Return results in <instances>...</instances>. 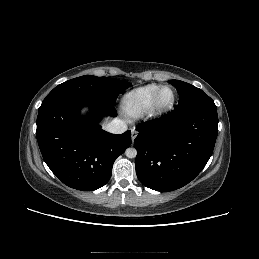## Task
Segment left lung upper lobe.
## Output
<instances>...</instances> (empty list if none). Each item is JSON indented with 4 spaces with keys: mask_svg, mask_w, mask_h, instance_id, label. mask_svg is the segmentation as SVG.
<instances>
[{
    "mask_svg": "<svg viewBox=\"0 0 259 259\" xmlns=\"http://www.w3.org/2000/svg\"><path fill=\"white\" fill-rule=\"evenodd\" d=\"M169 82L176 87L179 94L177 107L196 104L216 106L214 101L201 89L180 80H170Z\"/></svg>",
    "mask_w": 259,
    "mask_h": 259,
    "instance_id": "left-lung-upper-lobe-1",
    "label": "left lung upper lobe"
}]
</instances>
